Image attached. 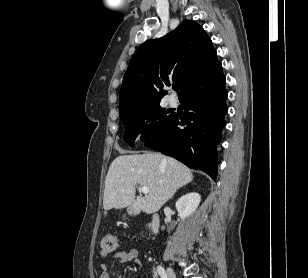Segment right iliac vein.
<instances>
[{"instance_id":"63e3f726","label":"right iliac vein","mask_w":308,"mask_h":278,"mask_svg":"<svg viewBox=\"0 0 308 278\" xmlns=\"http://www.w3.org/2000/svg\"><path fill=\"white\" fill-rule=\"evenodd\" d=\"M167 278H176L175 272L171 267L167 268V273H166Z\"/></svg>"}]
</instances>
